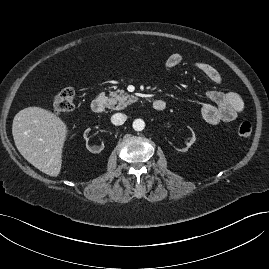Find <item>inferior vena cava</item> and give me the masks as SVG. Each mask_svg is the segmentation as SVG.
Returning a JSON list of instances; mask_svg holds the SVG:
<instances>
[{"label": "inferior vena cava", "instance_id": "obj_1", "mask_svg": "<svg viewBox=\"0 0 269 269\" xmlns=\"http://www.w3.org/2000/svg\"><path fill=\"white\" fill-rule=\"evenodd\" d=\"M126 119H127V116L125 114L116 113L112 115L111 122L112 124L119 126V125H122L126 121Z\"/></svg>", "mask_w": 269, "mask_h": 269}]
</instances>
